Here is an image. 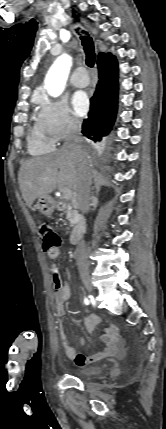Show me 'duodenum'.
Wrapping results in <instances>:
<instances>
[{"mask_svg": "<svg viewBox=\"0 0 166 429\" xmlns=\"http://www.w3.org/2000/svg\"><path fill=\"white\" fill-rule=\"evenodd\" d=\"M66 207H67V204L64 202H59L57 205L58 210H64L66 209ZM86 229H87L86 220L82 216L77 215L75 218V228L70 237L71 244L76 245L77 243H79L81 237L86 232Z\"/></svg>", "mask_w": 166, "mask_h": 429, "instance_id": "duodenum-1", "label": "duodenum"}]
</instances>
